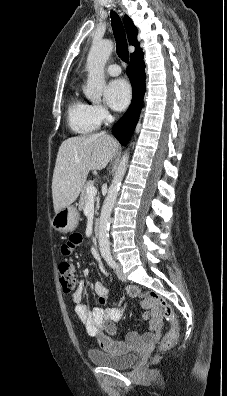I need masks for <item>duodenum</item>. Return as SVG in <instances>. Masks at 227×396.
Instances as JSON below:
<instances>
[{
    "mask_svg": "<svg viewBox=\"0 0 227 396\" xmlns=\"http://www.w3.org/2000/svg\"><path fill=\"white\" fill-rule=\"evenodd\" d=\"M93 234L98 237L100 235V223L96 221L93 226Z\"/></svg>",
    "mask_w": 227,
    "mask_h": 396,
    "instance_id": "1",
    "label": "duodenum"
}]
</instances>
